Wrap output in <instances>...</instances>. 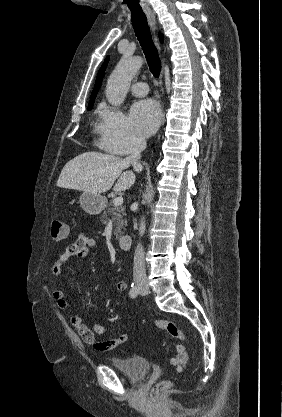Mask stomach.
<instances>
[{"mask_svg": "<svg viewBox=\"0 0 282 417\" xmlns=\"http://www.w3.org/2000/svg\"><path fill=\"white\" fill-rule=\"evenodd\" d=\"M79 202L85 213L99 215L105 209L107 198L102 196L100 192H82Z\"/></svg>", "mask_w": 282, "mask_h": 417, "instance_id": "stomach-1", "label": "stomach"}]
</instances>
